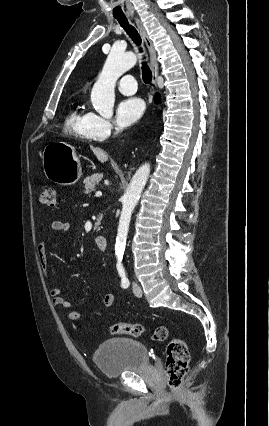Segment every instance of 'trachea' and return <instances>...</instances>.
I'll return each mask as SVG.
<instances>
[{
  "label": "trachea",
  "mask_w": 269,
  "mask_h": 426,
  "mask_svg": "<svg viewBox=\"0 0 269 426\" xmlns=\"http://www.w3.org/2000/svg\"><path fill=\"white\" fill-rule=\"evenodd\" d=\"M116 19L118 20L121 27H123L126 33L134 41V43L137 46H140L141 38L138 32L136 31V29L128 23V20L126 18H116ZM139 50L140 52H142V48H139ZM142 78L145 84H149L152 80V72L145 61L142 62Z\"/></svg>",
  "instance_id": "1"
}]
</instances>
